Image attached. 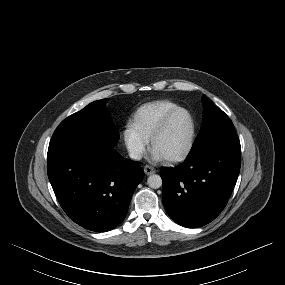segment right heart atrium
<instances>
[{
    "mask_svg": "<svg viewBox=\"0 0 285 285\" xmlns=\"http://www.w3.org/2000/svg\"><path fill=\"white\" fill-rule=\"evenodd\" d=\"M124 144L133 159H140L148 149V141L140 136L131 124H127L123 131Z\"/></svg>",
    "mask_w": 285,
    "mask_h": 285,
    "instance_id": "right-heart-atrium-1",
    "label": "right heart atrium"
}]
</instances>
